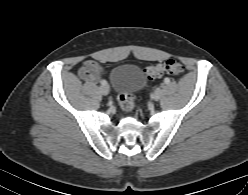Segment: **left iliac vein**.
Wrapping results in <instances>:
<instances>
[{"instance_id":"4c4485c4","label":"left iliac vein","mask_w":248,"mask_h":195,"mask_svg":"<svg viewBox=\"0 0 248 195\" xmlns=\"http://www.w3.org/2000/svg\"><path fill=\"white\" fill-rule=\"evenodd\" d=\"M161 95H162L161 89H157L153 93V99L157 101V100H159L161 98Z\"/></svg>"}]
</instances>
